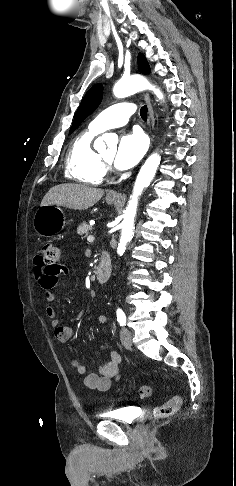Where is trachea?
<instances>
[{
	"label": "trachea",
	"mask_w": 236,
	"mask_h": 486,
	"mask_svg": "<svg viewBox=\"0 0 236 486\" xmlns=\"http://www.w3.org/2000/svg\"><path fill=\"white\" fill-rule=\"evenodd\" d=\"M147 106H143L141 109H140V116L142 117V119H146L147 117Z\"/></svg>",
	"instance_id": "obj_1"
}]
</instances>
